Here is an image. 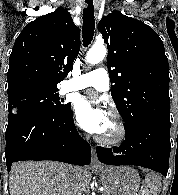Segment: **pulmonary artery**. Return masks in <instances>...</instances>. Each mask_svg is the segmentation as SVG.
I'll use <instances>...</instances> for the list:
<instances>
[{
	"label": "pulmonary artery",
	"instance_id": "pulmonary-artery-1",
	"mask_svg": "<svg viewBox=\"0 0 178 195\" xmlns=\"http://www.w3.org/2000/svg\"><path fill=\"white\" fill-rule=\"evenodd\" d=\"M88 87L99 91H107L110 87L109 75L103 68L93 70L89 73L80 75L67 81L62 89V93L82 90Z\"/></svg>",
	"mask_w": 178,
	"mask_h": 195
}]
</instances>
